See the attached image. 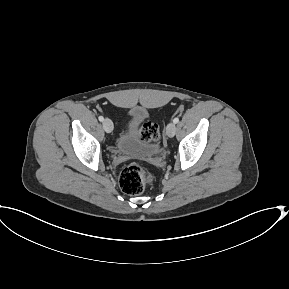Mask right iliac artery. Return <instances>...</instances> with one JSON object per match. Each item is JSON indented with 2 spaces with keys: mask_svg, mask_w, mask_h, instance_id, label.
<instances>
[{
  "mask_svg": "<svg viewBox=\"0 0 289 289\" xmlns=\"http://www.w3.org/2000/svg\"><path fill=\"white\" fill-rule=\"evenodd\" d=\"M98 119H99V121H101V122L104 121V117H103V116H99Z\"/></svg>",
  "mask_w": 289,
  "mask_h": 289,
  "instance_id": "82829eb1",
  "label": "right iliac artery"
}]
</instances>
